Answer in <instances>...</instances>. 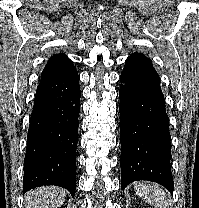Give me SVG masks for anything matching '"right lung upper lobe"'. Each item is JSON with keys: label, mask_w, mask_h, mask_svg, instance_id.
<instances>
[{"label": "right lung upper lobe", "mask_w": 199, "mask_h": 208, "mask_svg": "<svg viewBox=\"0 0 199 208\" xmlns=\"http://www.w3.org/2000/svg\"><path fill=\"white\" fill-rule=\"evenodd\" d=\"M77 74L73 63L65 54H56L46 64L40 83L57 81Z\"/></svg>", "instance_id": "cb5924a9"}]
</instances>
